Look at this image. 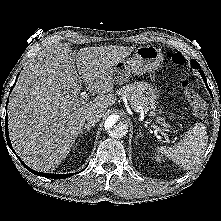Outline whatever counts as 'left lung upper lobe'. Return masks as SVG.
Masks as SVG:
<instances>
[{"label":"left lung upper lobe","instance_id":"1","mask_svg":"<svg viewBox=\"0 0 221 221\" xmlns=\"http://www.w3.org/2000/svg\"><path fill=\"white\" fill-rule=\"evenodd\" d=\"M191 66L195 69L201 68L196 60H191Z\"/></svg>","mask_w":221,"mask_h":221}]
</instances>
